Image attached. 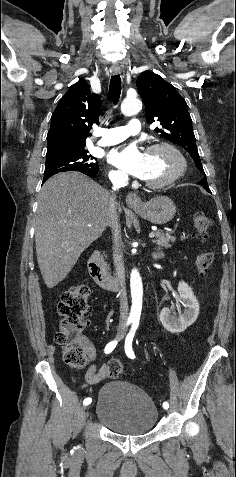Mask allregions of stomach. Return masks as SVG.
I'll return each mask as SVG.
<instances>
[{
	"mask_svg": "<svg viewBox=\"0 0 236 477\" xmlns=\"http://www.w3.org/2000/svg\"><path fill=\"white\" fill-rule=\"evenodd\" d=\"M133 209L140 216L157 225L168 223L176 213L174 202L166 196H156L141 207H133Z\"/></svg>",
	"mask_w": 236,
	"mask_h": 477,
	"instance_id": "obj_1",
	"label": "stomach"
}]
</instances>
